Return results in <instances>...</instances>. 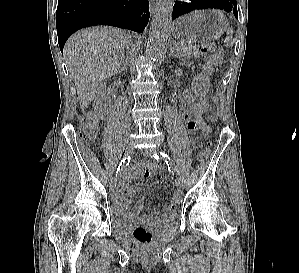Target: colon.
Returning <instances> with one entry per match:
<instances>
[{
	"instance_id": "1",
	"label": "colon",
	"mask_w": 299,
	"mask_h": 273,
	"mask_svg": "<svg viewBox=\"0 0 299 273\" xmlns=\"http://www.w3.org/2000/svg\"><path fill=\"white\" fill-rule=\"evenodd\" d=\"M195 53L198 57L205 58L203 71L206 75H210L215 67L220 63L222 53L220 49L213 43L198 44L195 46ZM209 107L208 100L204 95H201L193 104L192 118L196 122H202L203 115L207 112ZM96 130V122L90 117L81 126V137L90 141ZM209 142L206 143L205 147L198 153L197 159L199 161H205L208 157ZM182 192L177 190L174 192L171 204L177 205L182 199ZM134 238L142 244L151 242L153 235L150 230L143 226H136L133 229Z\"/></svg>"
}]
</instances>
